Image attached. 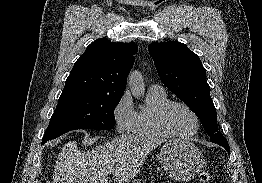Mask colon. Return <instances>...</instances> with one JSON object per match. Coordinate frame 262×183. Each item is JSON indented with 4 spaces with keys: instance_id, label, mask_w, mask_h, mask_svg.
Wrapping results in <instances>:
<instances>
[{
    "instance_id": "5ec220e1",
    "label": "colon",
    "mask_w": 262,
    "mask_h": 183,
    "mask_svg": "<svg viewBox=\"0 0 262 183\" xmlns=\"http://www.w3.org/2000/svg\"><path fill=\"white\" fill-rule=\"evenodd\" d=\"M198 180L201 183H208L211 180V172L208 170L201 171L198 175Z\"/></svg>"
}]
</instances>
